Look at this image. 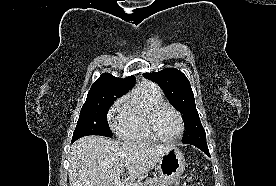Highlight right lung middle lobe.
Masks as SVG:
<instances>
[{
	"label": "right lung middle lobe",
	"mask_w": 276,
	"mask_h": 186,
	"mask_svg": "<svg viewBox=\"0 0 276 186\" xmlns=\"http://www.w3.org/2000/svg\"><path fill=\"white\" fill-rule=\"evenodd\" d=\"M123 94L113 92L88 93L86 102L80 111L72 142L87 135L112 137L107 122L110 105Z\"/></svg>",
	"instance_id": "obj_1"
}]
</instances>
